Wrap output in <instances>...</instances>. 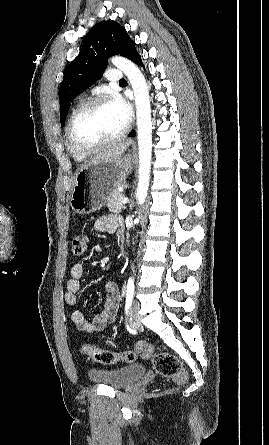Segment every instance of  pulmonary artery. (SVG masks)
I'll list each match as a JSON object with an SVG mask.
<instances>
[{
  "label": "pulmonary artery",
  "instance_id": "e3ab8cb5",
  "mask_svg": "<svg viewBox=\"0 0 269 445\" xmlns=\"http://www.w3.org/2000/svg\"><path fill=\"white\" fill-rule=\"evenodd\" d=\"M106 77L111 82H119L122 79V72L118 69H109L106 72Z\"/></svg>",
  "mask_w": 269,
  "mask_h": 445
}]
</instances>
